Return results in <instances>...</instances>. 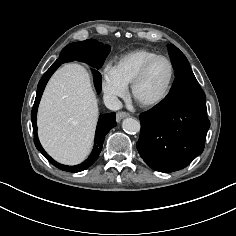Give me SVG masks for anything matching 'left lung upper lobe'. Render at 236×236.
<instances>
[{"label":"left lung upper lobe","mask_w":236,"mask_h":236,"mask_svg":"<svg viewBox=\"0 0 236 236\" xmlns=\"http://www.w3.org/2000/svg\"><path fill=\"white\" fill-rule=\"evenodd\" d=\"M168 51H169V55L172 60V63L175 67V75L186 70H191V67L189 65L187 58L176 46H174L173 44H169Z\"/></svg>","instance_id":"obj_1"}]
</instances>
